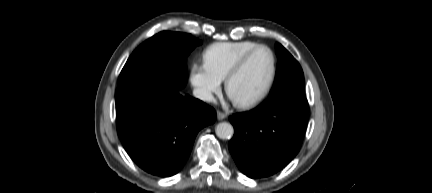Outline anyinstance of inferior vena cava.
Instances as JSON below:
<instances>
[{"label":"inferior vena cava","instance_id":"1","mask_svg":"<svg viewBox=\"0 0 432 193\" xmlns=\"http://www.w3.org/2000/svg\"><path fill=\"white\" fill-rule=\"evenodd\" d=\"M193 95L196 98L207 102H213L215 100L212 93L209 90L204 88H195L193 90Z\"/></svg>","mask_w":432,"mask_h":193}]
</instances>
